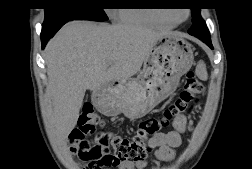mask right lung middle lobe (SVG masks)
<instances>
[{
	"label": "right lung middle lobe",
	"mask_w": 252,
	"mask_h": 169,
	"mask_svg": "<svg viewBox=\"0 0 252 169\" xmlns=\"http://www.w3.org/2000/svg\"><path fill=\"white\" fill-rule=\"evenodd\" d=\"M104 0H46L42 29H49L72 20L106 21Z\"/></svg>",
	"instance_id": "1"
}]
</instances>
